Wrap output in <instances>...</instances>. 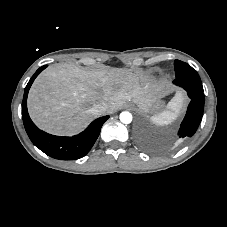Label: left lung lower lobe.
I'll list each match as a JSON object with an SVG mask.
<instances>
[{"label":"left lung lower lobe","mask_w":227,"mask_h":227,"mask_svg":"<svg viewBox=\"0 0 227 227\" xmlns=\"http://www.w3.org/2000/svg\"><path fill=\"white\" fill-rule=\"evenodd\" d=\"M173 83L186 90L191 99L178 132L180 138H188L194 135L203 116L204 93L202 82L200 79L176 78Z\"/></svg>","instance_id":"0a47b994"}]
</instances>
